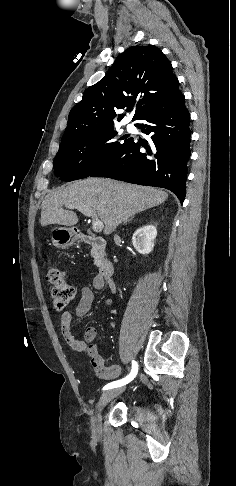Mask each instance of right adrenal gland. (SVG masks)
Wrapping results in <instances>:
<instances>
[{
    "instance_id": "1",
    "label": "right adrenal gland",
    "mask_w": 236,
    "mask_h": 486,
    "mask_svg": "<svg viewBox=\"0 0 236 486\" xmlns=\"http://www.w3.org/2000/svg\"><path fill=\"white\" fill-rule=\"evenodd\" d=\"M134 216H132L130 219L124 221V224L127 223L128 221H130L131 219H133Z\"/></svg>"
}]
</instances>
